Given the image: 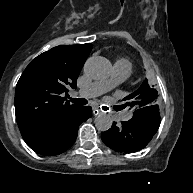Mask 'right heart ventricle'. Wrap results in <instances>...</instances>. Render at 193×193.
Here are the masks:
<instances>
[{"label":"right heart ventricle","instance_id":"e07e8e85","mask_svg":"<svg viewBox=\"0 0 193 193\" xmlns=\"http://www.w3.org/2000/svg\"><path fill=\"white\" fill-rule=\"evenodd\" d=\"M115 63H121V64L127 66L130 70L132 68L131 63L128 60H126V59H119Z\"/></svg>","mask_w":193,"mask_h":193}]
</instances>
